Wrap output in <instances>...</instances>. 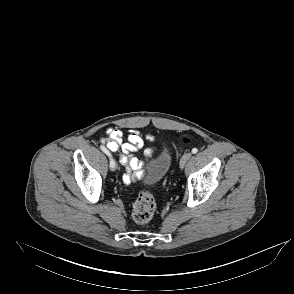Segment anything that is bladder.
I'll list each match as a JSON object with an SVG mask.
<instances>
[{
    "mask_svg": "<svg viewBox=\"0 0 294 294\" xmlns=\"http://www.w3.org/2000/svg\"><path fill=\"white\" fill-rule=\"evenodd\" d=\"M172 163V154L168 148H163L151 161L145 181L151 184L159 182L168 172Z\"/></svg>",
    "mask_w": 294,
    "mask_h": 294,
    "instance_id": "31cf9c89",
    "label": "bladder"
}]
</instances>
